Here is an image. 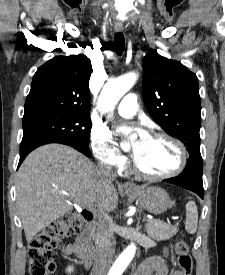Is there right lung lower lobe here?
Returning <instances> with one entry per match:
<instances>
[{"label":"right lung lower lobe","mask_w":225,"mask_h":275,"mask_svg":"<svg viewBox=\"0 0 225 275\" xmlns=\"http://www.w3.org/2000/svg\"><path fill=\"white\" fill-rule=\"evenodd\" d=\"M48 143L66 144L82 152L87 157L91 156L89 147H85L68 140L58 139V138H48V137H30V138L22 139V142L20 145V160H19L18 167L20 166L22 161L25 159V157L32 150H34L35 148L41 145L48 144Z\"/></svg>","instance_id":"98d812e1"}]
</instances>
